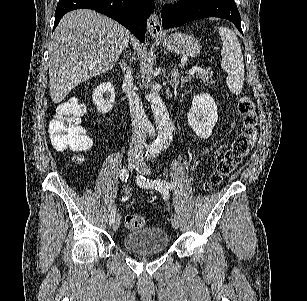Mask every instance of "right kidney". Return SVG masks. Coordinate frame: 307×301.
Masks as SVG:
<instances>
[{
  "label": "right kidney",
  "mask_w": 307,
  "mask_h": 301,
  "mask_svg": "<svg viewBox=\"0 0 307 301\" xmlns=\"http://www.w3.org/2000/svg\"><path fill=\"white\" fill-rule=\"evenodd\" d=\"M92 100L101 114L112 110L115 102V90L112 82L98 84L93 90Z\"/></svg>",
  "instance_id": "obj_1"
}]
</instances>
